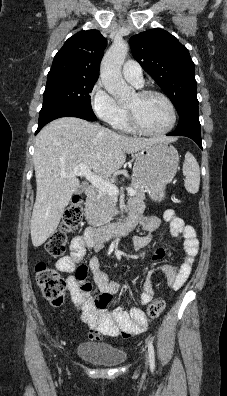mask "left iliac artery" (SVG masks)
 <instances>
[{
  "label": "left iliac artery",
  "instance_id": "obj_1",
  "mask_svg": "<svg viewBox=\"0 0 227 396\" xmlns=\"http://www.w3.org/2000/svg\"><path fill=\"white\" fill-rule=\"evenodd\" d=\"M148 352H149L150 368L153 371L155 369V352H154V346L151 341H148Z\"/></svg>",
  "mask_w": 227,
  "mask_h": 396
}]
</instances>
